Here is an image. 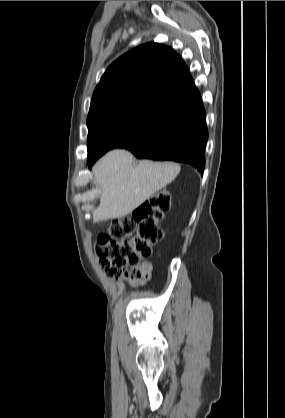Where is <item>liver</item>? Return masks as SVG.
Segmentation results:
<instances>
[{"label":"liver","instance_id":"1","mask_svg":"<svg viewBox=\"0 0 285 418\" xmlns=\"http://www.w3.org/2000/svg\"><path fill=\"white\" fill-rule=\"evenodd\" d=\"M94 184L101 188L100 204L93 211V221L124 217L171 183L180 172L172 162L141 160L127 150L108 152L93 167Z\"/></svg>","mask_w":285,"mask_h":418}]
</instances>
